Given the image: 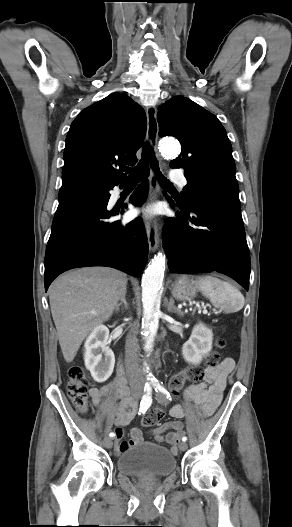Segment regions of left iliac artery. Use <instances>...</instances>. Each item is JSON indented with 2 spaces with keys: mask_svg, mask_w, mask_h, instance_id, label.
<instances>
[{
  "mask_svg": "<svg viewBox=\"0 0 292 527\" xmlns=\"http://www.w3.org/2000/svg\"><path fill=\"white\" fill-rule=\"evenodd\" d=\"M152 385H153V387H154V389H155L156 392L162 393V394L165 395L167 398L170 397L168 391L165 389V387L163 386L162 383H160V382L157 381V380H154V381L152 382ZM186 440H187V437L184 436V437L182 438V441L186 442Z\"/></svg>",
  "mask_w": 292,
  "mask_h": 527,
  "instance_id": "1",
  "label": "left iliac artery"
}]
</instances>
